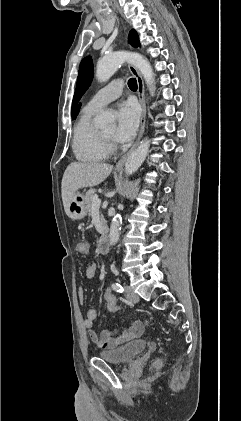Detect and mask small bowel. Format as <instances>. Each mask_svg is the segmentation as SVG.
<instances>
[{
    "label": "small bowel",
    "mask_w": 241,
    "mask_h": 421,
    "mask_svg": "<svg viewBox=\"0 0 241 421\" xmlns=\"http://www.w3.org/2000/svg\"><path fill=\"white\" fill-rule=\"evenodd\" d=\"M97 272V265L91 262L86 269V276L92 278ZM78 299L80 302L84 300V289H78ZM97 317V311L94 308H89L83 320L84 327L88 330L87 335L89 340L95 344L99 349H113L117 348L131 340L137 339L144 334L145 325L139 320L132 321L127 329L119 331L102 330L99 334L96 333L92 327Z\"/></svg>",
    "instance_id": "obj_1"
}]
</instances>
